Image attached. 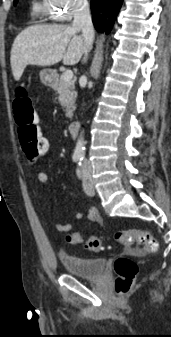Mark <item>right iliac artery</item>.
<instances>
[{
	"instance_id": "1",
	"label": "right iliac artery",
	"mask_w": 171,
	"mask_h": 337,
	"mask_svg": "<svg viewBox=\"0 0 171 337\" xmlns=\"http://www.w3.org/2000/svg\"><path fill=\"white\" fill-rule=\"evenodd\" d=\"M81 160H82L81 156H77V155L73 156V161L74 162H80Z\"/></svg>"
}]
</instances>
